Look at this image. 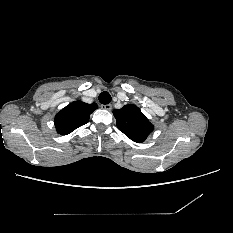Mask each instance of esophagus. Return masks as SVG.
<instances>
[{"mask_svg": "<svg viewBox=\"0 0 233 233\" xmlns=\"http://www.w3.org/2000/svg\"><path fill=\"white\" fill-rule=\"evenodd\" d=\"M101 108L110 111L112 109V106L111 104H106V105H101Z\"/></svg>", "mask_w": 233, "mask_h": 233, "instance_id": "esophagus-1", "label": "esophagus"}]
</instances>
